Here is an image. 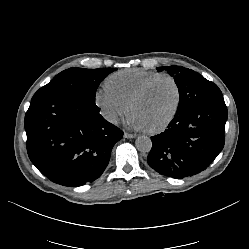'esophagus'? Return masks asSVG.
Wrapping results in <instances>:
<instances>
[{
    "label": "esophagus",
    "instance_id": "obj_1",
    "mask_svg": "<svg viewBox=\"0 0 249 249\" xmlns=\"http://www.w3.org/2000/svg\"><path fill=\"white\" fill-rule=\"evenodd\" d=\"M124 137H125V138H135L136 135H135V134H130V133L125 132V133H124Z\"/></svg>",
    "mask_w": 249,
    "mask_h": 249
}]
</instances>
